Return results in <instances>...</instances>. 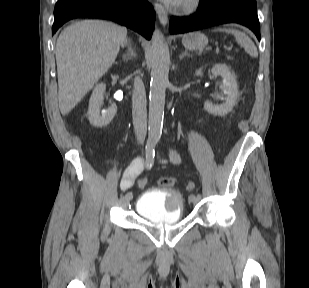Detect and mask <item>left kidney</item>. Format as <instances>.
I'll return each mask as SVG.
<instances>
[{"mask_svg":"<svg viewBox=\"0 0 309 288\" xmlns=\"http://www.w3.org/2000/svg\"><path fill=\"white\" fill-rule=\"evenodd\" d=\"M211 72L215 76H221L223 78V84L221 85V90L225 94V102L221 105H213L212 103L206 102L204 108L207 112L218 115H227L234 107L238 95V85L231 73L230 69L224 64H216L211 69ZM202 74V69L196 72L197 76Z\"/></svg>","mask_w":309,"mask_h":288,"instance_id":"5707ae66","label":"left kidney"}]
</instances>
